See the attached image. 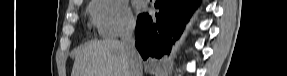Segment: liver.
Masks as SVG:
<instances>
[{"label": "liver", "instance_id": "6515ba94", "mask_svg": "<svg viewBox=\"0 0 287 76\" xmlns=\"http://www.w3.org/2000/svg\"><path fill=\"white\" fill-rule=\"evenodd\" d=\"M130 66L118 40L88 43L76 53L71 76H129Z\"/></svg>", "mask_w": 287, "mask_h": 76}]
</instances>
